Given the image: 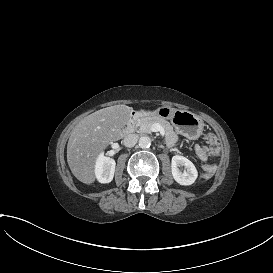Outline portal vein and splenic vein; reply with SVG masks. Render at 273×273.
<instances>
[{
  "instance_id": "1",
  "label": "portal vein and splenic vein",
  "mask_w": 273,
  "mask_h": 273,
  "mask_svg": "<svg viewBox=\"0 0 273 273\" xmlns=\"http://www.w3.org/2000/svg\"><path fill=\"white\" fill-rule=\"evenodd\" d=\"M151 132H159L162 138H165V130L159 123L152 124Z\"/></svg>"
}]
</instances>
